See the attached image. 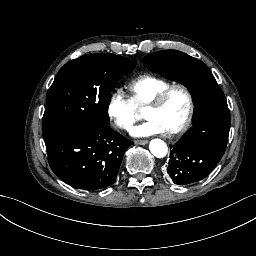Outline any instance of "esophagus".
Segmentation results:
<instances>
[{"instance_id": "obj_1", "label": "esophagus", "mask_w": 256, "mask_h": 256, "mask_svg": "<svg viewBox=\"0 0 256 256\" xmlns=\"http://www.w3.org/2000/svg\"><path fill=\"white\" fill-rule=\"evenodd\" d=\"M134 143L137 145H145L148 143V140H135Z\"/></svg>"}]
</instances>
